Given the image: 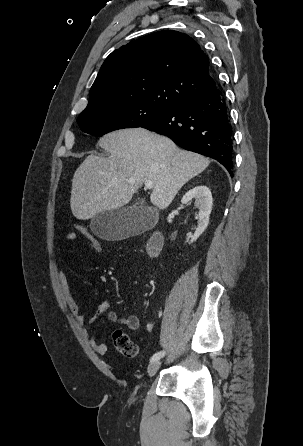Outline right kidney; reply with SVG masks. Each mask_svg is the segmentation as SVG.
<instances>
[{
	"label": "right kidney",
	"instance_id": "ca27d5eb",
	"mask_svg": "<svg viewBox=\"0 0 303 446\" xmlns=\"http://www.w3.org/2000/svg\"><path fill=\"white\" fill-rule=\"evenodd\" d=\"M195 200V206L199 209L198 226L190 243L195 242L205 231L209 223V216L212 210V194L207 186L199 185L189 190L181 199L182 204Z\"/></svg>",
	"mask_w": 303,
	"mask_h": 446
}]
</instances>
